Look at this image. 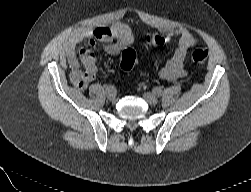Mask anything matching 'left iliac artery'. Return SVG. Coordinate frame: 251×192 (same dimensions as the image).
Wrapping results in <instances>:
<instances>
[{
    "label": "left iliac artery",
    "instance_id": "1",
    "mask_svg": "<svg viewBox=\"0 0 251 192\" xmlns=\"http://www.w3.org/2000/svg\"><path fill=\"white\" fill-rule=\"evenodd\" d=\"M153 93L156 95V96H161L162 95V89L160 87H155L153 89Z\"/></svg>",
    "mask_w": 251,
    "mask_h": 192
}]
</instances>
